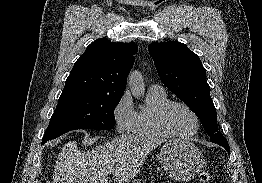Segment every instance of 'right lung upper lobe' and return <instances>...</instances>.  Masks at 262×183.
Here are the masks:
<instances>
[{"label":"right lung upper lobe","mask_w":262,"mask_h":183,"mask_svg":"<svg viewBox=\"0 0 262 183\" xmlns=\"http://www.w3.org/2000/svg\"><path fill=\"white\" fill-rule=\"evenodd\" d=\"M138 47L101 38L91 43L74 64L62 93L94 92L122 96Z\"/></svg>","instance_id":"1"}]
</instances>
